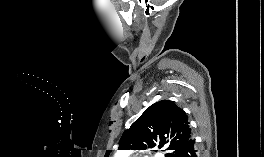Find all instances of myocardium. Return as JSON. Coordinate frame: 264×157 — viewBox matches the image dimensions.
Returning a JSON list of instances; mask_svg holds the SVG:
<instances>
[{
    "instance_id": "obj_1",
    "label": "myocardium",
    "mask_w": 264,
    "mask_h": 157,
    "mask_svg": "<svg viewBox=\"0 0 264 157\" xmlns=\"http://www.w3.org/2000/svg\"><path fill=\"white\" fill-rule=\"evenodd\" d=\"M132 157H145V156H141V155H135V156H132Z\"/></svg>"
}]
</instances>
